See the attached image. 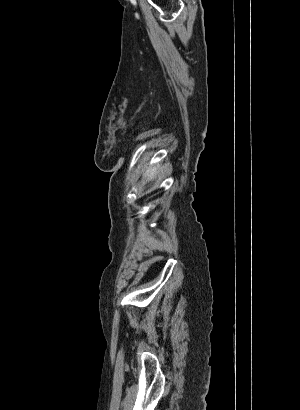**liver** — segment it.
Returning <instances> with one entry per match:
<instances>
[{"label": "liver", "instance_id": "liver-1", "mask_svg": "<svg viewBox=\"0 0 300 410\" xmlns=\"http://www.w3.org/2000/svg\"><path fill=\"white\" fill-rule=\"evenodd\" d=\"M158 167H154L148 171H146V173L144 174V178H147V180H152L154 179L156 172H157Z\"/></svg>", "mask_w": 300, "mask_h": 410}]
</instances>
